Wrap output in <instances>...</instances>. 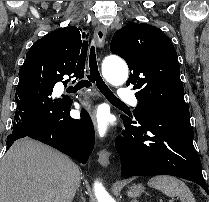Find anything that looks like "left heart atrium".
Here are the masks:
<instances>
[{
	"mask_svg": "<svg viewBox=\"0 0 209 202\" xmlns=\"http://www.w3.org/2000/svg\"><path fill=\"white\" fill-rule=\"evenodd\" d=\"M87 117L92 122L95 130L99 135H103L106 132V114L102 111L101 108H95L92 112L87 114Z\"/></svg>",
	"mask_w": 209,
	"mask_h": 202,
	"instance_id": "39dd6f15",
	"label": "left heart atrium"
}]
</instances>
